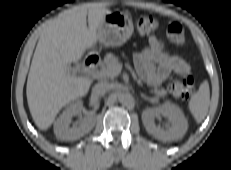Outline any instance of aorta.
Wrapping results in <instances>:
<instances>
[{
  "instance_id": "1",
  "label": "aorta",
  "mask_w": 231,
  "mask_h": 170,
  "mask_svg": "<svg viewBox=\"0 0 231 170\" xmlns=\"http://www.w3.org/2000/svg\"><path fill=\"white\" fill-rule=\"evenodd\" d=\"M118 100L120 103L127 105L133 101V97L129 92H124L118 94Z\"/></svg>"
}]
</instances>
